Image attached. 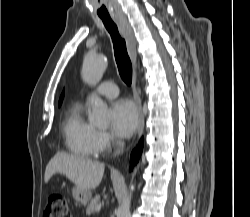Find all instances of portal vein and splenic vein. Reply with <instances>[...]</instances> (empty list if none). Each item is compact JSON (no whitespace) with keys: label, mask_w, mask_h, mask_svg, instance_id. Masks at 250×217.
<instances>
[{"label":"portal vein and splenic vein","mask_w":250,"mask_h":217,"mask_svg":"<svg viewBox=\"0 0 250 217\" xmlns=\"http://www.w3.org/2000/svg\"><path fill=\"white\" fill-rule=\"evenodd\" d=\"M96 210H97V211H100V206H97V207H96Z\"/></svg>","instance_id":"portal-vein-and-splenic-vein-1"}]
</instances>
